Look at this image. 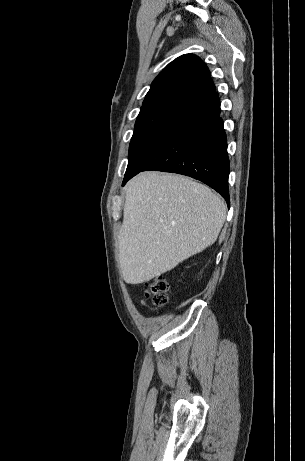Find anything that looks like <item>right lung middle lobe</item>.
<instances>
[{
    "label": "right lung middle lobe",
    "mask_w": 305,
    "mask_h": 461,
    "mask_svg": "<svg viewBox=\"0 0 305 461\" xmlns=\"http://www.w3.org/2000/svg\"><path fill=\"white\" fill-rule=\"evenodd\" d=\"M187 109L180 105H161L141 109L131 138L127 169L136 165L158 144Z\"/></svg>",
    "instance_id": "1"
}]
</instances>
